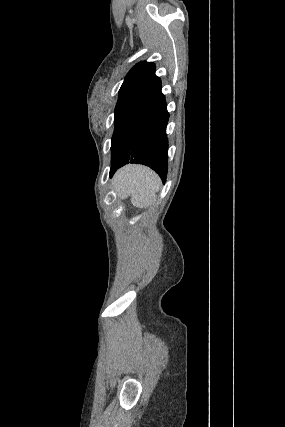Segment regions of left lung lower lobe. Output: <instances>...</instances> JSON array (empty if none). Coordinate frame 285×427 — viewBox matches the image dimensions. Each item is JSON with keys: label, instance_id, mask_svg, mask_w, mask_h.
I'll return each mask as SVG.
<instances>
[{"label": "left lung lower lobe", "instance_id": "1", "mask_svg": "<svg viewBox=\"0 0 285 427\" xmlns=\"http://www.w3.org/2000/svg\"><path fill=\"white\" fill-rule=\"evenodd\" d=\"M168 120L165 96L160 90L120 136L111 159L110 176L125 164L137 163L149 166L164 181L168 169Z\"/></svg>", "mask_w": 285, "mask_h": 427}]
</instances>
